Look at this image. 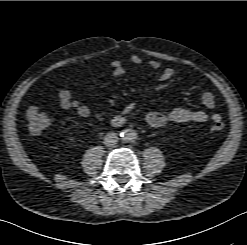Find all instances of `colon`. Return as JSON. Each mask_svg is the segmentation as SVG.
<instances>
[{"mask_svg":"<svg viewBox=\"0 0 247 245\" xmlns=\"http://www.w3.org/2000/svg\"><path fill=\"white\" fill-rule=\"evenodd\" d=\"M27 121L28 128L32 134H39L44 129H46L50 124V118L47 114L41 111L37 107H31L27 111ZM225 125L223 121L220 119L215 121L211 127L213 132H221L224 129Z\"/></svg>","mask_w":247,"mask_h":245,"instance_id":"colon-1","label":"colon"}]
</instances>
